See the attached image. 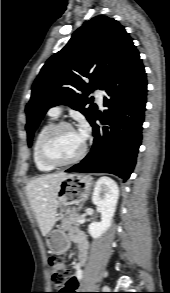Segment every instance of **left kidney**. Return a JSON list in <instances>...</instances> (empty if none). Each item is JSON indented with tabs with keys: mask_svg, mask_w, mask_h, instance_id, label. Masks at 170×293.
Returning <instances> with one entry per match:
<instances>
[{
	"mask_svg": "<svg viewBox=\"0 0 170 293\" xmlns=\"http://www.w3.org/2000/svg\"><path fill=\"white\" fill-rule=\"evenodd\" d=\"M118 198L119 188L114 180L101 177L96 182L92 202L100 208L101 221L88 226V232L94 239L101 237L111 226Z\"/></svg>",
	"mask_w": 170,
	"mask_h": 293,
	"instance_id": "5707ae66",
	"label": "left kidney"
}]
</instances>
